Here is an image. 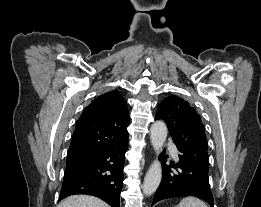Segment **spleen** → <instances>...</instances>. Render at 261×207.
Wrapping results in <instances>:
<instances>
[{
	"label": "spleen",
	"mask_w": 261,
	"mask_h": 207,
	"mask_svg": "<svg viewBox=\"0 0 261 207\" xmlns=\"http://www.w3.org/2000/svg\"><path fill=\"white\" fill-rule=\"evenodd\" d=\"M176 207H207V205L198 198L187 197L182 199Z\"/></svg>",
	"instance_id": "1"
}]
</instances>
